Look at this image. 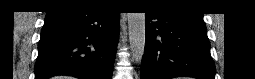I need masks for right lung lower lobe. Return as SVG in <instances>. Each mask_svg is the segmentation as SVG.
Masks as SVG:
<instances>
[{
  "instance_id": "98d812e1",
  "label": "right lung lower lobe",
  "mask_w": 255,
  "mask_h": 79,
  "mask_svg": "<svg viewBox=\"0 0 255 79\" xmlns=\"http://www.w3.org/2000/svg\"><path fill=\"white\" fill-rule=\"evenodd\" d=\"M118 31L119 13L102 5L48 12L38 44L35 79L55 75L111 79Z\"/></svg>"
}]
</instances>
